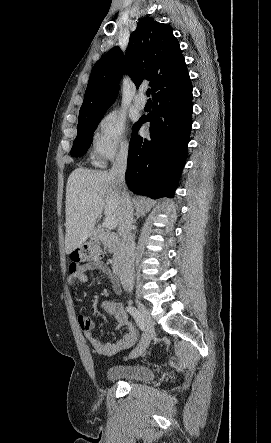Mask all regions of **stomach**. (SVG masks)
<instances>
[{"label":"stomach","instance_id":"obj_1","mask_svg":"<svg viewBox=\"0 0 271 443\" xmlns=\"http://www.w3.org/2000/svg\"><path fill=\"white\" fill-rule=\"evenodd\" d=\"M96 233H91V237H95Z\"/></svg>","mask_w":271,"mask_h":443}]
</instances>
